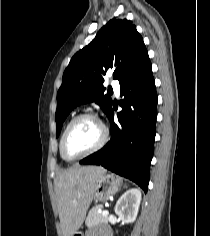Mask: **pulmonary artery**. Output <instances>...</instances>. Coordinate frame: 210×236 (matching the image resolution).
<instances>
[{
    "label": "pulmonary artery",
    "mask_w": 210,
    "mask_h": 236,
    "mask_svg": "<svg viewBox=\"0 0 210 236\" xmlns=\"http://www.w3.org/2000/svg\"><path fill=\"white\" fill-rule=\"evenodd\" d=\"M111 85H112L114 91L118 94V93H119V90H120L119 82L116 81V80H113V81L111 82Z\"/></svg>",
    "instance_id": "obj_1"
}]
</instances>
